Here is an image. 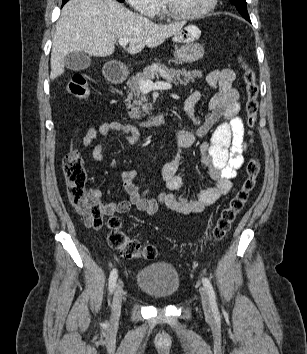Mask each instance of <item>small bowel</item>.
I'll use <instances>...</instances> for the list:
<instances>
[{
    "instance_id": "small-bowel-1",
    "label": "small bowel",
    "mask_w": 307,
    "mask_h": 354,
    "mask_svg": "<svg viewBox=\"0 0 307 354\" xmlns=\"http://www.w3.org/2000/svg\"><path fill=\"white\" fill-rule=\"evenodd\" d=\"M235 72L232 69H217L207 75V83L216 93L210 98L208 112L202 120L195 115V107L202 99V93L196 91L186 100L184 108L191 121L196 126V132L174 131L172 133L177 150L173 158L163 167L161 175L169 190L162 192L158 200L144 199L136 184L138 172L128 170L122 174L123 186L129 199L118 203H105L108 213H125L131 205L148 214H154L160 204L181 214L201 213L213 205L219 198L227 195L231 188V180L244 163L243 154L247 149L245 130L242 119L239 117L240 93L233 86ZM121 132L126 141L133 144L140 139L139 130L130 123L106 121L98 126L90 127L82 138V145L93 146L92 157L95 161L103 160L102 140L111 132ZM210 134L209 140H203L199 149L201 161L207 167L209 176L214 184L200 191L195 199H187L176 192L186 189V182L177 174L180 153L184 148L196 144ZM90 194L101 201L103 193L99 189H91Z\"/></svg>"
}]
</instances>
